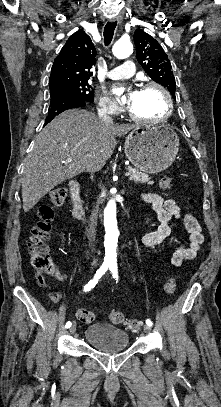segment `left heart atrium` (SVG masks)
<instances>
[{
	"label": "left heart atrium",
	"mask_w": 221,
	"mask_h": 407,
	"mask_svg": "<svg viewBox=\"0 0 221 407\" xmlns=\"http://www.w3.org/2000/svg\"><path fill=\"white\" fill-rule=\"evenodd\" d=\"M128 93L129 95H134L137 91L132 89H126L124 86H117L113 89V93L116 95H121L123 93Z\"/></svg>",
	"instance_id": "left-heart-atrium-1"
}]
</instances>
